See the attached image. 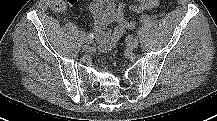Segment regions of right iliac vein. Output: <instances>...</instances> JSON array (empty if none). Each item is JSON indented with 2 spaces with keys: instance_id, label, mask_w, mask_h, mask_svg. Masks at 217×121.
Wrapping results in <instances>:
<instances>
[{
  "instance_id": "obj_1",
  "label": "right iliac vein",
  "mask_w": 217,
  "mask_h": 121,
  "mask_svg": "<svg viewBox=\"0 0 217 121\" xmlns=\"http://www.w3.org/2000/svg\"><path fill=\"white\" fill-rule=\"evenodd\" d=\"M83 51H84L85 53H92L93 48H92L89 44H85V45L83 46Z\"/></svg>"
}]
</instances>
